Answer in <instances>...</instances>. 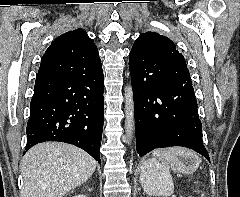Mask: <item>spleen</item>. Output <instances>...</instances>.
I'll list each match as a JSON object with an SVG mask.
<instances>
[{"mask_svg":"<svg viewBox=\"0 0 240 197\" xmlns=\"http://www.w3.org/2000/svg\"><path fill=\"white\" fill-rule=\"evenodd\" d=\"M197 157L194 152L180 147L155 150L153 158L147 160L141 169L140 180L149 195L170 196L174 192V183L169 165L177 156ZM199 160V158L197 157ZM200 161V160H199Z\"/></svg>","mask_w":240,"mask_h":197,"instance_id":"obj_1","label":"spleen"}]
</instances>
